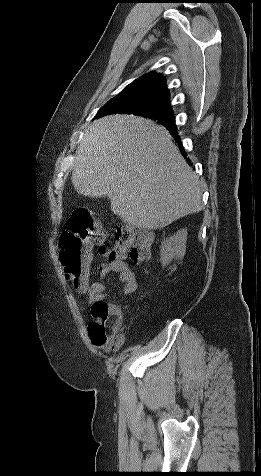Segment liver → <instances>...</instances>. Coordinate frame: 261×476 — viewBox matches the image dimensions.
Here are the masks:
<instances>
[{
    "label": "liver",
    "mask_w": 261,
    "mask_h": 476,
    "mask_svg": "<svg viewBox=\"0 0 261 476\" xmlns=\"http://www.w3.org/2000/svg\"><path fill=\"white\" fill-rule=\"evenodd\" d=\"M84 196H107L111 210L141 229H161L202 210L198 177L153 121L116 114L91 124L71 177Z\"/></svg>",
    "instance_id": "1"
}]
</instances>
